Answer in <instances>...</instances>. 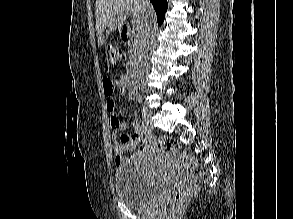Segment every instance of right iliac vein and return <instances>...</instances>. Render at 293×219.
Listing matches in <instances>:
<instances>
[{
	"label": "right iliac vein",
	"mask_w": 293,
	"mask_h": 219,
	"mask_svg": "<svg viewBox=\"0 0 293 219\" xmlns=\"http://www.w3.org/2000/svg\"><path fill=\"white\" fill-rule=\"evenodd\" d=\"M142 117H143V120L147 124H150L151 123L152 114H151V111L148 108L143 107V109H142Z\"/></svg>",
	"instance_id": "right-iliac-vein-1"
}]
</instances>
